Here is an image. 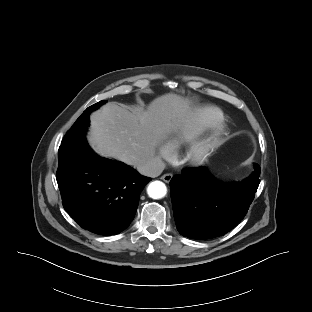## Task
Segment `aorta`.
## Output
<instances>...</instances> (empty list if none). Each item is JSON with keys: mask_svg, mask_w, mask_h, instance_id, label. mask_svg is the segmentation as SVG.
<instances>
[{"mask_svg": "<svg viewBox=\"0 0 312 312\" xmlns=\"http://www.w3.org/2000/svg\"><path fill=\"white\" fill-rule=\"evenodd\" d=\"M148 195L153 199L163 198L167 193L166 185L161 181H153L147 188Z\"/></svg>", "mask_w": 312, "mask_h": 312, "instance_id": "obj_1", "label": "aorta"}]
</instances>
